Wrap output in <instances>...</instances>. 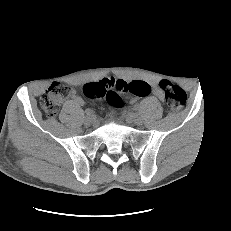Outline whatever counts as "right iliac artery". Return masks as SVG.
<instances>
[{
    "label": "right iliac artery",
    "instance_id": "obj_1",
    "mask_svg": "<svg viewBox=\"0 0 231 231\" xmlns=\"http://www.w3.org/2000/svg\"><path fill=\"white\" fill-rule=\"evenodd\" d=\"M86 114L87 115H92L93 114V110H91V109H86Z\"/></svg>",
    "mask_w": 231,
    "mask_h": 231
}]
</instances>
